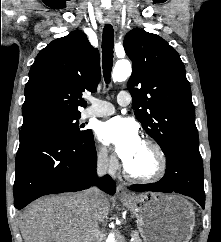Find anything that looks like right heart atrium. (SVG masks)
<instances>
[{
    "instance_id": "obj_1",
    "label": "right heart atrium",
    "mask_w": 221,
    "mask_h": 242,
    "mask_svg": "<svg viewBox=\"0 0 221 242\" xmlns=\"http://www.w3.org/2000/svg\"><path fill=\"white\" fill-rule=\"evenodd\" d=\"M95 161L101 171L114 172L118 167V161L115 157L108 154L104 148H97L95 151Z\"/></svg>"
}]
</instances>
